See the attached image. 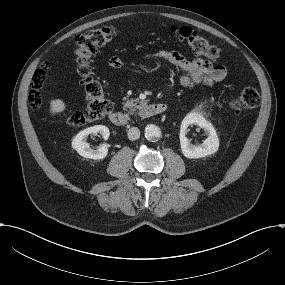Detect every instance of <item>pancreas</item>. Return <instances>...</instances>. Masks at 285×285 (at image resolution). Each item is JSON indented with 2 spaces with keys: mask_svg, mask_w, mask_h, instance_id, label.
<instances>
[{
  "mask_svg": "<svg viewBox=\"0 0 285 285\" xmlns=\"http://www.w3.org/2000/svg\"><path fill=\"white\" fill-rule=\"evenodd\" d=\"M123 100H125L123 107L128 108L131 114H136L140 107L148 104V100H140L139 98L129 99L127 95L123 97Z\"/></svg>",
  "mask_w": 285,
  "mask_h": 285,
  "instance_id": "obj_1",
  "label": "pancreas"
}]
</instances>
